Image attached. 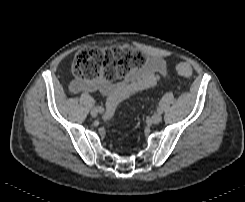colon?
<instances>
[{"label": "colon", "instance_id": "5ec220e1", "mask_svg": "<svg viewBox=\"0 0 245 202\" xmlns=\"http://www.w3.org/2000/svg\"><path fill=\"white\" fill-rule=\"evenodd\" d=\"M145 57L127 44L111 47H84L79 49L71 62L72 73L82 79L93 80L105 77L117 80L125 77L133 68L142 67ZM179 75L187 77L192 73L191 66L186 62L176 65ZM114 108L108 105L105 119L112 116Z\"/></svg>", "mask_w": 245, "mask_h": 202}]
</instances>
